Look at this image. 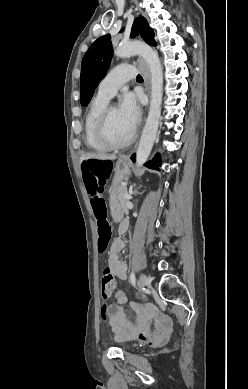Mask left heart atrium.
Returning <instances> with one entry per match:
<instances>
[{"label":"left heart atrium","mask_w":248,"mask_h":389,"mask_svg":"<svg viewBox=\"0 0 248 389\" xmlns=\"http://www.w3.org/2000/svg\"><path fill=\"white\" fill-rule=\"evenodd\" d=\"M118 109L127 124L134 129L140 117V108L136 96L130 92H125Z\"/></svg>","instance_id":"1"}]
</instances>
